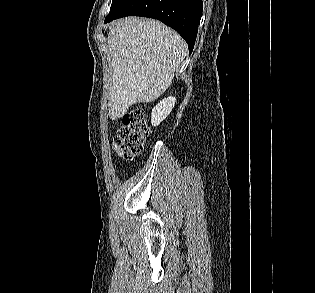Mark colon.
<instances>
[{"label":"colon","instance_id":"colon-1","mask_svg":"<svg viewBox=\"0 0 315 293\" xmlns=\"http://www.w3.org/2000/svg\"><path fill=\"white\" fill-rule=\"evenodd\" d=\"M113 140V148L122 159H132L139 155L149 134L145 112L142 109L128 111L122 119Z\"/></svg>","mask_w":315,"mask_h":293}]
</instances>
